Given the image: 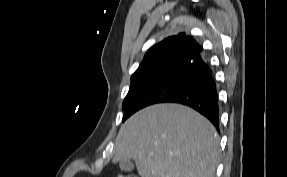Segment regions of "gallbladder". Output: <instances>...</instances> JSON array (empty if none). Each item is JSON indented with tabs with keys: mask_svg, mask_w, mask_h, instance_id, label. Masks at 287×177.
Instances as JSON below:
<instances>
[{
	"mask_svg": "<svg viewBox=\"0 0 287 177\" xmlns=\"http://www.w3.org/2000/svg\"><path fill=\"white\" fill-rule=\"evenodd\" d=\"M119 167L124 172H131L134 169V163L131 159L119 161Z\"/></svg>",
	"mask_w": 287,
	"mask_h": 177,
	"instance_id": "bac80fb5",
	"label": "gallbladder"
}]
</instances>
